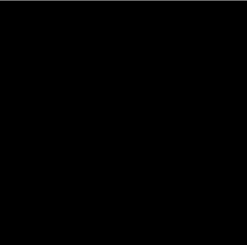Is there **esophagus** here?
<instances>
[{"label":"esophagus","instance_id":"1","mask_svg":"<svg viewBox=\"0 0 247 245\" xmlns=\"http://www.w3.org/2000/svg\"><path fill=\"white\" fill-rule=\"evenodd\" d=\"M136 144H137V142L136 141H131L130 143H129V145L131 146V147H134V146H136Z\"/></svg>","mask_w":247,"mask_h":245}]
</instances>
